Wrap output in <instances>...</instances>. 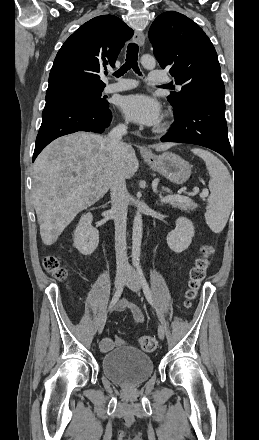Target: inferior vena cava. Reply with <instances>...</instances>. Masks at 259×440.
Instances as JSON below:
<instances>
[{
	"mask_svg": "<svg viewBox=\"0 0 259 440\" xmlns=\"http://www.w3.org/2000/svg\"><path fill=\"white\" fill-rule=\"evenodd\" d=\"M127 134V123L113 128L106 137L114 154V166L110 177V194L115 223V251L117 271H125L129 267L126 243L127 220V189L121 171L122 158L127 144L122 137Z\"/></svg>",
	"mask_w": 259,
	"mask_h": 440,
	"instance_id": "602c4592",
	"label": "inferior vena cava"
}]
</instances>
